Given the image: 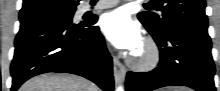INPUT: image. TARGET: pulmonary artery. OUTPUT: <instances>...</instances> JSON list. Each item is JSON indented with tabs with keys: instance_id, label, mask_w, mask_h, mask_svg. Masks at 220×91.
Wrapping results in <instances>:
<instances>
[{
	"instance_id": "obj_1",
	"label": "pulmonary artery",
	"mask_w": 220,
	"mask_h": 91,
	"mask_svg": "<svg viewBox=\"0 0 220 91\" xmlns=\"http://www.w3.org/2000/svg\"><path fill=\"white\" fill-rule=\"evenodd\" d=\"M117 3H119L118 0H101L92 8V10L98 11L102 9H107L115 6Z\"/></svg>"
}]
</instances>
